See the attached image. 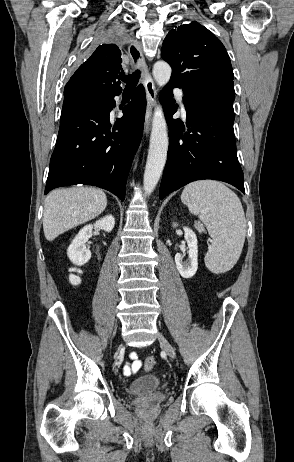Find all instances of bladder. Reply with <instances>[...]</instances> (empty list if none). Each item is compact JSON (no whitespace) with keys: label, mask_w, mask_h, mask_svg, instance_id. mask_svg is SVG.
<instances>
[{"label":"bladder","mask_w":294,"mask_h":462,"mask_svg":"<svg viewBox=\"0 0 294 462\" xmlns=\"http://www.w3.org/2000/svg\"><path fill=\"white\" fill-rule=\"evenodd\" d=\"M163 381L161 378L151 375L134 380L128 386V393L131 395L146 394L161 388Z\"/></svg>","instance_id":"31cf9c89"}]
</instances>
